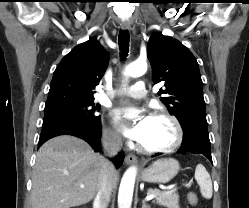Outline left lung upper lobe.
Segmentation results:
<instances>
[{"label":"left lung upper lobe","mask_w":249,"mask_h":208,"mask_svg":"<svg viewBox=\"0 0 249 208\" xmlns=\"http://www.w3.org/2000/svg\"><path fill=\"white\" fill-rule=\"evenodd\" d=\"M147 57L153 82L165 83L158 94L166 96L160 100L182 129L195 123L207 125L199 66L190 50L172 37L154 33L147 45Z\"/></svg>","instance_id":"obj_1"}]
</instances>
